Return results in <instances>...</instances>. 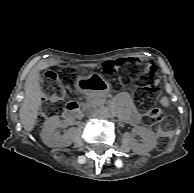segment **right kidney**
I'll use <instances>...</instances> for the list:
<instances>
[{"instance_id":"right-kidney-1","label":"right kidney","mask_w":194,"mask_h":193,"mask_svg":"<svg viewBox=\"0 0 194 193\" xmlns=\"http://www.w3.org/2000/svg\"><path fill=\"white\" fill-rule=\"evenodd\" d=\"M61 122L58 116H52L45 121L40 137L48 147H68L72 144V131L68 130L64 135L54 133L55 129L60 126Z\"/></svg>"}]
</instances>
